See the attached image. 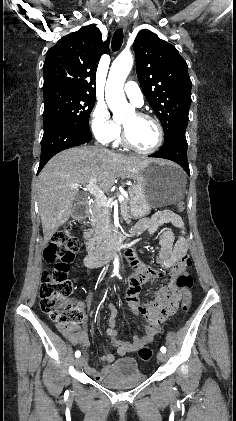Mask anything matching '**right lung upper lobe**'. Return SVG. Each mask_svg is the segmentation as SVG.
<instances>
[{"instance_id":"obj_1","label":"right lung upper lobe","mask_w":236,"mask_h":421,"mask_svg":"<svg viewBox=\"0 0 236 421\" xmlns=\"http://www.w3.org/2000/svg\"><path fill=\"white\" fill-rule=\"evenodd\" d=\"M94 24L62 37L46 54L43 90L62 89L95 96L96 64L108 50Z\"/></svg>"}]
</instances>
